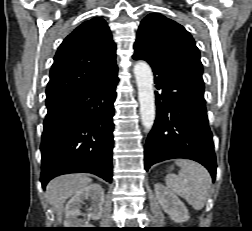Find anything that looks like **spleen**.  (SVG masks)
<instances>
[{
    "label": "spleen",
    "mask_w": 252,
    "mask_h": 231,
    "mask_svg": "<svg viewBox=\"0 0 252 231\" xmlns=\"http://www.w3.org/2000/svg\"><path fill=\"white\" fill-rule=\"evenodd\" d=\"M175 163L181 167L178 175L166 176L167 187L184 198L195 210H201L209 195L211 177L202 165L187 159H178Z\"/></svg>",
    "instance_id": "spleen-1"
}]
</instances>
